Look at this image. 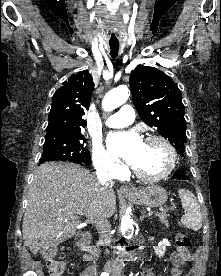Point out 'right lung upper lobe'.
<instances>
[{"instance_id":"right-lung-upper-lobe-1","label":"right lung upper lobe","mask_w":221,"mask_h":276,"mask_svg":"<svg viewBox=\"0 0 221 276\" xmlns=\"http://www.w3.org/2000/svg\"><path fill=\"white\" fill-rule=\"evenodd\" d=\"M93 89L94 82L87 70L65 81L53 95L46 135L81 132L86 126L82 116L89 109Z\"/></svg>"}]
</instances>
